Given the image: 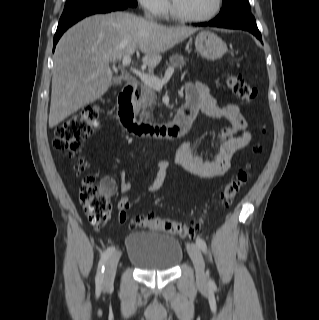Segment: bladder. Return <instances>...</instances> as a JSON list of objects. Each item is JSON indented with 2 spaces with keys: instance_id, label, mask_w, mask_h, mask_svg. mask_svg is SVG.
Masks as SVG:
<instances>
[{
  "instance_id": "bladder-1",
  "label": "bladder",
  "mask_w": 319,
  "mask_h": 320,
  "mask_svg": "<svg viewBox=\"0 0 319 320\" xmlns=\"http://www.w3.org/2000/svg\"><path fill=\"white\" fill-rule=\"evenodd\" d=\"M129 263L143 271H168L183 259V247L171 234L139 231L127 235L125 241Z\"/></svg>"
}]
</instances>
